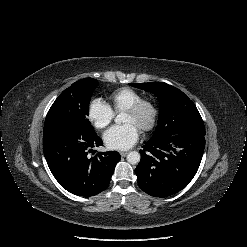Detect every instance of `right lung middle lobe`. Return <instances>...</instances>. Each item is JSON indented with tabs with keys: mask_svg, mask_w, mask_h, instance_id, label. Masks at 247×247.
<instances>
[{
	"mask_svg": "<svg viewBox=\"0 0 247 247\" xmlns=\"http://www.w3.org/2000/svg\"><path fill=\"white\" fill-rule=\"evenodd\" d=\"M97 86L96 79L84 78L65 89L48 111L44 126L58 123L74 124L95 133L87 116L89 102Z\"/></svg>",
	"mask_w": 247,
	"mask_h": 247,
	"instance_id": "1",
	"label": "right lung middle lobe"
}]
</instances>
